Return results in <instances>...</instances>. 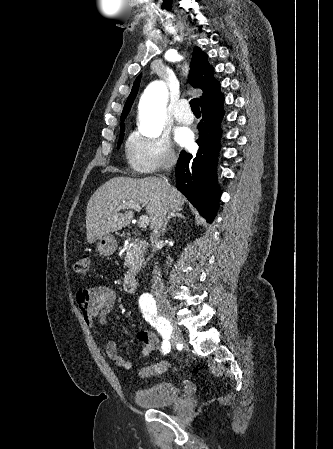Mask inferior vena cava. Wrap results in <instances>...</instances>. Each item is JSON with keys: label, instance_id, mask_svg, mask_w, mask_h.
<instances>
[{"label": "inferior vena cava", "instance_id": "inferior-vena-cava-1", "mask_svg": "<svg viewBox=\"0 0 333 449\" xmlns=\"http://www.w3.org/2000/svg\"><path fill=\"white\" fill-rule=\"evenodd\" d=\"M177 159L173 157L167 164V171H170L171 167L175 165ZM169 187L168 179L163 178V189L166 191ZM168 212L167 202L163 200L162 205L159 207L157 214L155 215V220L153 222V232L151 233V247L152 251L156 252L157 245L160 241L161 227L163 221L165 220L166 214ZM152 294L156 300L165 301V290L164 284L161 278V271L155 265L153 269V279H152Z\"/></svg>", "mask_w": 333, "mask_h": 449}]
</instances>
